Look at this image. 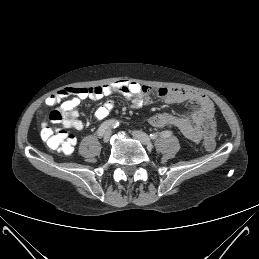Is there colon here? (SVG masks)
Returning a JSON list of instances; mask_svg holds the SVG:
<instances>
[{
    "instance_id": "obj_1",
    "label": "colon",
    "mask_w": 259,
    "mask_h": 259,
    "mask_svg": "<svg viewBox=\"0 0 259 259\" xmlns=\"http://www.w3.org/2000/svg\"><path fill=\"white\" fill-rule=\"evenodd\" d=\"M49 123L53 125H65V118L60 110H53L49 114ZM205 138L204 146L207 150H213L215 147L216 123L214 118L209 119L204 124ZM42 134L47 145L65 155H70L75 146V138L66 129L60 127H51L44 123Z\"/></svg>"
}]
</instances>
